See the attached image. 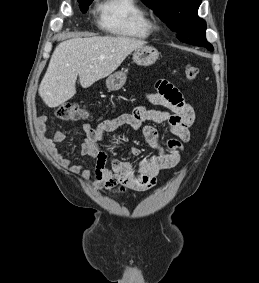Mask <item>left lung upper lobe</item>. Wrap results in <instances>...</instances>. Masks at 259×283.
I'll use <instances>...</instances> for the list:
<instances>
[{"mask_svg":"<svg viewBox=\"0 0 259 283\" xmlns=\"http://www.w3.org/2000/svg\"><path fill=\"white\" fill-rule=\"evenodd\" d=\"M202 0H143L187 44L212 46L205 37L206 22L197 15Z\"/></svg>","mask_w":259,"mask_h":283,"instance_id":"left-lung-upper-lobe-1","label":"left lung upper lobe"}]
</instances>
